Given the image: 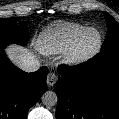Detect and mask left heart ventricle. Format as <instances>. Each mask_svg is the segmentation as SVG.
I'll list each match as a JSON object with an SVG mask.
<instances>
[{
    "label": "left heart ventricle",
    "mask_w": 119,
    "mask_h": 119,
    "mask_svg": "<svg viewBox=\"0 0 119 119\" xmlns=\"http://www.w3.org/2000/svg\"><path fill=\"white\" fill-rule=\"evenodd\" d=\"M97 43V35L95 33H91L84 38L80 45L81 51H88L92 49Z\"/></svg>",
    "instance_id": "left-heart-ventricle-1"
}]
</instances>
